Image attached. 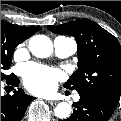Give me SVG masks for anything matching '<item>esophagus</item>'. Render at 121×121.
Here are the masks:
<instances>
[{
    "label": "esophagus",
    "instance_id": "esophagus-1",
    "mask_svg": "<svg viewBox=\"0 0 121 121\" xmlns=\"http://www.w3.org/2000/svg\"><path fill=\"white\" fill-rule=\"evenodd\" d=\"M48 102H49V104H51V105H54V104L57 103V101H52V100H50V101H48Z\"/></svg>",
    "mask_w": 121,
    "mask_h": 121
}]
</instances>
